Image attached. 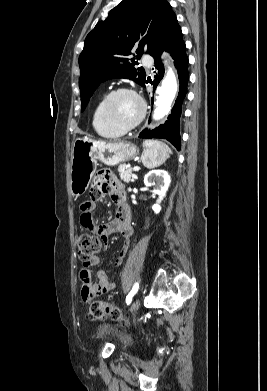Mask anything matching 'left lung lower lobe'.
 Returning <instances> with one entry per match:
<instances>
[{"label":"left lung lower lobe","instance_id":"1","mask_svg":"<svg viewBox=\"0 0 267 391\" xmlns=\"http://www.w3.org/2000/svg\"><path fill=\"white\" fill-rule=\"evenodd\" d=\"M169 52L174 59L175 67L179 76V93L176 102L168 116V120L154 130H144L140 133V138H162L171 142L177 150H180V115L182 110V102L187 93V83L189 80L188 74V57L185 52V43L182 39V32L179 25H177L167 36L163 43L158 45L150 54L155 61V75L152 85L157 86L164 75V68L161 62V54ZM148 83V81L146 82ZM145 83V85H146ZM144 85V86H145Z\"/></svg>","mask_w":267,"mask_h":391}]
</instances>
